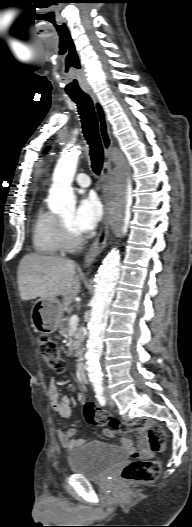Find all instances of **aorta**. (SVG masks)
Masks as SVG:
<instances>
[{
    "instance_id": "1",
    "label": "aorta",
    "mask_w": 192,
    "mask_h": 527,
    "mask_svg": "<svg viewBox=\"0 0 192 527\" xmlns=\"http://www.w3.org/2000/svg\"><path fill=\"white\" fill-rule=\"evenodd\" d=\"M79 154V149L73 147L66 151L56 164L53 183L49 191V208L55 213H65L75 208L76 200L72 182ZM116 187L119 204L126 205L130 199V168L127 164H122L119 169ZM119 258L118 250L112 249L103 260L95 279V293L91 302L85 354L88 376L95 385L102 381L99 360L103 349L108 307L113 299L115 282L119 275Z\"/></svg>"
}]
</instances>
